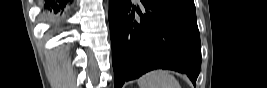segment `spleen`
Segmentation results:
<instances>
[{
  "label": "spleen",
  "instance_id": "obj_1",
  "mask_svg": "<svg viewBox=\"0 0 267 88\" xmlns=\"http://www.w3.org/2000/svg\"><path fill=\"white\" fill-rule=\"evenodd\" d=\"M139 88H181L168 70H153L138 79Z\"/></svg>",
  "mask_w": 267,
  "mask_h": 88
}]
</instances>
